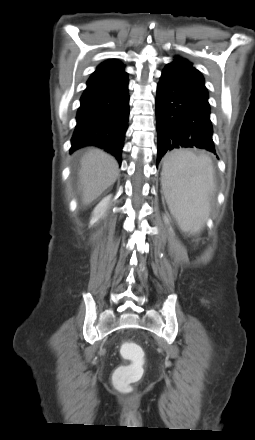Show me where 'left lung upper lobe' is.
Returning <instances> with one entry per match:
<instances>
[{
  "instance_id": "1",
  "label": "left lung upper lobe",
  "mask_w": 255,
  "mask_h": 440,
  "mask_svg": "<svg viewBox=\"0 0 255 440\" xmlns=\"http://www.w3.org/2000/svg\"><path fill=\"white\" fill-rule=\"evenodd\" d=\"M167 67L176 71L191 83L207 91V88L204 85V78L202 74L196 68H194L193 64L187 59L176 56L175 60L169 63Z\"/></svg>"
}]
</instances>
